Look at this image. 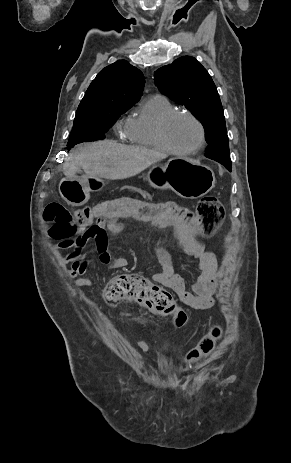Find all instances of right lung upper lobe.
Listing matches in <instances>:
<instances>
[{"label": "right lung upper lobe", "instance_id": "1", "mask_svg": "<svg viewBox=\"0 0 291 463\" xmlns=\"http://www.w3.org/2000/svg\"><path fill=\"white\" fill-rule=\"evenodd\" d=\"M145 78L125 60L102 69L88 87L76 112L91 110L108 103L134 105L142 95Z\"/></svg>", "mask_w": 291, "mask_h": 463}]
</instances>
